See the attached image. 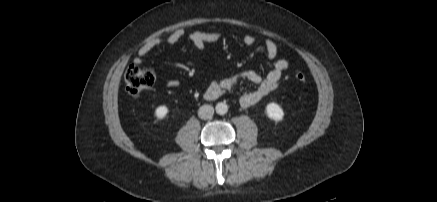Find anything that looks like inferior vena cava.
Here are the masks:
<instances>
[{
    "instance_id": "1",
    "label": "inferior vena cava",
    "mask_w": 437,
    "mask_h": 202,
    "mask_svg": "<svg viewBox=\"0 0 437 202\" xmlns=\"http://www.w3.org/2000/svg\"><path fill=\"white\" fill-rule=\"evenodd\" d=\"M214 114V108L211 105H202L198 110V116L201 119H210Z\"/></svg>"
}]
</instances>
